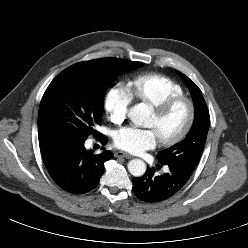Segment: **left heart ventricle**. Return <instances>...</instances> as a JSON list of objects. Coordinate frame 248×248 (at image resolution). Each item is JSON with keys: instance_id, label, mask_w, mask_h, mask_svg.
I'll use <instances>...</instances> for the list:
<instances>
[{"instance_id": "left-heart-ventricle-1", "label": "left heart ventricle", "mask_w": 248, "mask_h": 248, "mask_svg": "<svg viewBox=\"0 0 248 248\" xmlns=\"http://www.w3.org/2000/svg\"><path fill=\"white\" fill-rule=\"evenodd\" d=\"M187 117V105L185 103H180L162 118H158L152 113L149 127L155 130L159 140L170 138L176 135L184 127Z\"/></svg>"}]
</instances>
